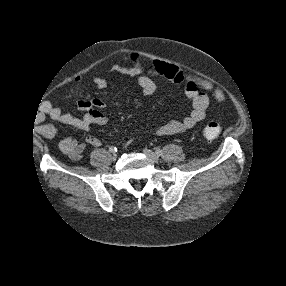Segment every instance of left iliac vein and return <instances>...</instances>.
<instances>
[{
  "mask_svg": "<svg viewBox=\"0 0 286 286\" xmlns=\"http://www.w3.org/2000/svg\"><path fill=\"white\" fill-rule=\"evenodd\" d=\"M143 152L146 156H148L150 158V160L152 162H154V163L159 162V160H160L159 156L156 153H154L153 151H151L149 149H144Z\"/></svg>",
  "mask_w": 286,
  "mask_h": 286,
  "instance_id": "obj_1",
  "label": "left iliac vein"
}]
</instances>
